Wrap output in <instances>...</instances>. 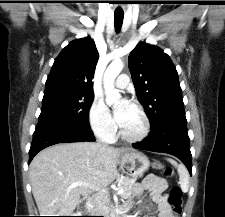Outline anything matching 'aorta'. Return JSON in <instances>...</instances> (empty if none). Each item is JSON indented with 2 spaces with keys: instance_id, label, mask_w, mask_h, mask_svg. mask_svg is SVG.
<instances>
[{
  "instance_id": "1",
  "label": "aorta",
  "mask_w": 225,
  "mask_h": 217,
  "mask_svg": "<svg viewBox=\"0 0 225 217\" xmlns=\"http://www.w3.org/2000/svg\"><path fill=\"white\" fill-rule=\"evenodd\" d=\"M124 65L121 60H113L107 67L103 76V88L106 95V103L108 105L117 104L120 102L121 94L115 88L114 82L116 77L122 71Z\"/></svg>"
}]
</instances>
